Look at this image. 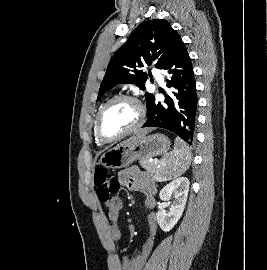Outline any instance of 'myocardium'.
<instances>
[{"mask_svg": "<svg viewBox=\"0 0 267 270\" xmlns=\"http://www.w3.org/2000/svg\"><path fill=\"white\" fill-rule=\"evenodd\" d=\"M121 101H130L132 103H134L137 108H138V112H139V118L137 123L128 131L116 136V137H107L103 134L102 129H101V119L102 116L104 114V112L113 104L117 103V102H121ZM145 117H146V111L145 108L143 106V104L141 103V101L133 96V95H129V94H121V95H117L113 98H111L110 100H108L105 104L102 105V107L99 109L97 115H96V119H95V135L97 137V139L101 142V143H113L116 141H119L131 134H133L134 132H136L137 130H139L142 125L145 122Z\"/></svg>", "mask_w": 267, "mask_h": 270, "instance_id": "myocardium-1", "label": "myocardium"}]
</instances>
